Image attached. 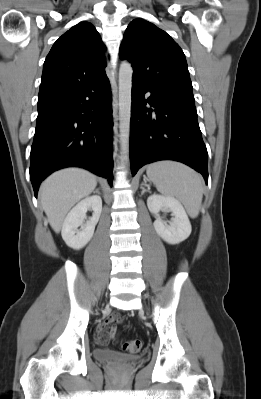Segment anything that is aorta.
Instances as JSON below:
<instances>
[{
	"label": "aorta",
	"mask_w": 261,
	"mask_h": 399,
	"mask_svg": "<svg viewBox=\"0 0 261 399\" xmlns=\"http://www.w3.org/2000/svg\"><path fill=\"white\" fill-rule=\"evenodd\" d=\"M132 75L131 64L123 61L119 69V130L122 160L125 163L129 159Z\"/></svg>",
	"instance_id": "obj_1"
}]
</instances>
